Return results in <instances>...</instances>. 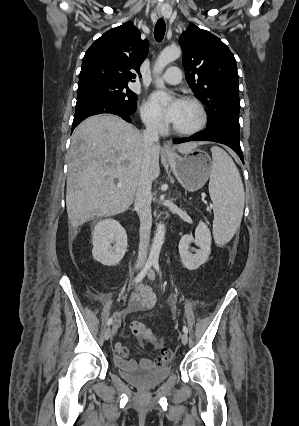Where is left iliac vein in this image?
Masks as SVG:
<instances>
[{
	"label": "left iliac vein",
	"instance_id": "4c4485c4",
	"mask_svg": "<svg viewBox=\"0 0 299 426\" xmlns=\"http://www.w3.org/2000/svg\"><path fill=\"white\" fill-rule=\"evenodd\" d=\"M181 342L182 344L186 345L188 343V335L186 333H183L181 335Z\"/></svg>",
	"mask_w": 299,
	"mask_h": 426
}]
</instances>
